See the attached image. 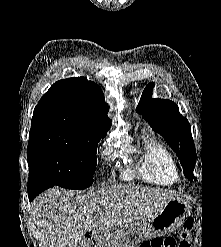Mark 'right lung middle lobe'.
Listing matches in <instances>:
<instances>
[{
  "label": "right lung middle lobe",
  "instance_id": "1",
  "mask_svg": "<svg viewBox=\"0 0 221 247\" xmlns=\"http://www.w3.org/2000/svg\"><path fill=\"white\" fill-rule=\"evenodd\" d=\"M100 138L59 128L31 129L29 173L66 189H86L93 183Z\"/></svg>",
  "mask_w": 221,
  "mask_h": 247
}]
</instances>
